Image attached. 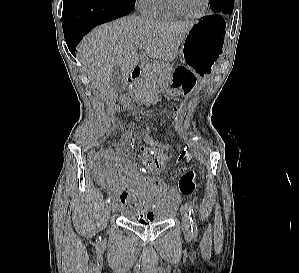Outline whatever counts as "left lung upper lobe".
I'll use <instances>...</instances> for the list:
<instances>
[{
  "mask_svg": "<svg viewBox=\"0 0 299 273\" xmlns=\"http://www.w3.org/2000/svg\"><path fill=\"white\" fill-rule=\"evenodd\" d=\"M214 12H221L222 9L233 8L234 0H209Z\"/></svg>",
  "mask_w": 299,
  "mask_h": 273,
  "instance_id": "left-lung-upper-lobe-1",
  "label": "left lung upper lobe"
}]
</instances>
